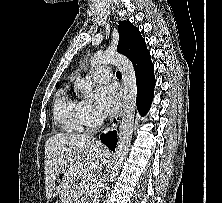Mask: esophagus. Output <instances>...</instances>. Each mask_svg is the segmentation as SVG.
<instances>
[{
    "instance_id": "34e87169",
    "label": "esophagus",
    "mask_w": 222,
    "mask_h": 203,
    "mask_svg": "<svg viewBox=\"0 0 222 203\" xmlns=\"http://www.w3.org/2000/svg\"><path fill=\"white\" fill-rule=\"evenodd\" d=\"M122 113H123V110H122V107H121L119 112L111 119L110 123L105 128V132H107L109 130H114V129L117 128V126L120 123Z\"/></svg>"
}]
</instances>
